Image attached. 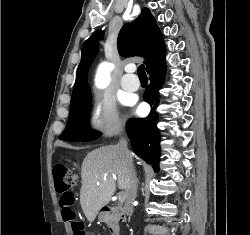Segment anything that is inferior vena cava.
Masks as SVG:
<instances>
[{"instance_id":"obj_1","label":"inferior vena cava","mask_w":250,"mask_h":235,"mask_svg":"<svg viewBox=\"0 0 250 235\" xmlns=\"http://www.w3.org/2000/svg\"><path fill=\"white\" fill-rule=\"evenodd\" d=\"M117 151L119 154V157L121 158L122 162L127 167L129 177H130V183L127 190V197L124 205V210L127 215L131 216L133 213V202L136 198L137 194V177L133 166V159L130 151L127 147V141L126 139L122 138L118 145H117Z\"/></svg>"}]
</instances>
